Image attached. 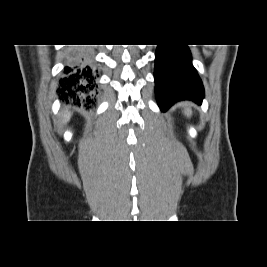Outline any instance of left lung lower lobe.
Masks as SVG:
<instances>
[{
	"label": "left lung lower lobe",
	"instance_id": "left-lung-lower-lobe-1",
	"mask_svg": "<svg viewBox=\"0 0 267 267\" xmlns=\"http://www.w3.org/2000/svg\"><path fill=\"white\" fill-rule=\"evenodd\" d=\"M154 78L156 98L162 111L180 100L201 104L204 98L203 84L192 65L187 45H158Z\"/></svg>",
	"mask_w": 267,
	"mask_h": 267
}]
</instances>
